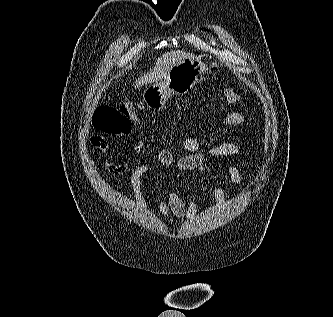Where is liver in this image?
<instances>
[{
  "mask_svg": "<svg viewBox=\"0 0 333 317\" xmlns=\"http://www.w3.org/2000/svg\"><path fill=\"white\" fill-rule=\"evenodd\" d=\"M187 58H192V54L181 50L164 53L161 57L158 58L156 65L150 74H147L136 81V87L165 78L174 65Z\"/></svg>",
  "mask_w": 333,
  "mask_h": 317,
  "instance_id": "1",
  "label": "liver"
}]
</instances>
